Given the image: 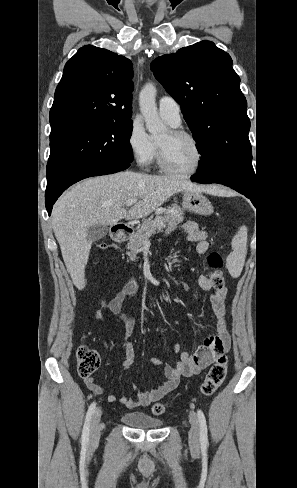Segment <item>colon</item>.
<instances>
[{
    "mask_svg": "<svg viewBox=\"0 0 297 488\" xmlns=\"http://www.w3.org/2000/svg\"><path fill=\"white\" fill-rule=\"evenodd\" d=\"M100 249L114 248L112 244L102 243L99 245ZM208 263L212 272L210 279L215 288L221 289L224 287V279L221 272L222 260L217 253H211L208 257ZM100 366V357L98 353L88 347L87 345L79 346L77 350V369L81 377H90ZM228 367V359L221 355L211 366L207 372L199 389L200 395L203 397L212 396L215 391L223 383ZM167 405L165 403H156L152 407V412L155 415H162L166 412Z\"/></svg>",
    "mask_w": 297,
    "mask_h": 488,
    "instance_id": "1",
    "label": "colon"
}]
</instances>
